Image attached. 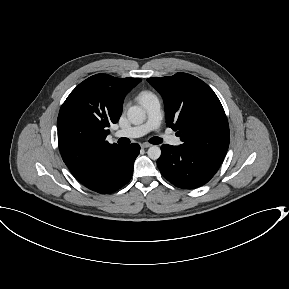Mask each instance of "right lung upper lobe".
Wrapping results in <instances>:
<instances>
[{
  "label": "right lung upper lobe",
  "mask_w": 289,
  "mask_h": 289,
  "mask_svg": "<svg viewBox=\"0 0 289 289\" xmlns=\"http://www.w3.org/2000/svg\"><path fill=\"white\" fill-rule=\"evenodd\" d=\"M141 79L96 74L80 83L63 103L58 119V144L63 161L83 181L121 145L106 141L110 124L119 120L125 95Z\"/></svg>",
  "instance_id": "right-lung-upper-lobe-1"
}]
</instances>
